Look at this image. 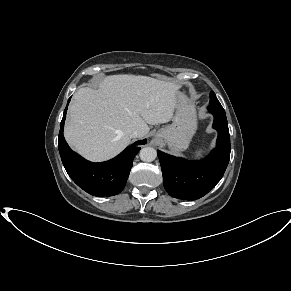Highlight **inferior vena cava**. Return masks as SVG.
I'll return each mask as SVG.
<instances>
[{"label": "inferior vena cava", "instance_id": "inferior-vena-cava-1", "mask_svg": "<svg viewBox=\"0 0 291 291\" xmlns=\"http://www.w3.org/2000/svg\"><path fill=\"white\" fill-rule=\"evenodd\" d=\"M130 137H131V138H139V137H142V133H141V131H139V130H133V131L130 133Z\"/></svg>", "mask_w": 291, "mask_h": 291}]
</instances>
